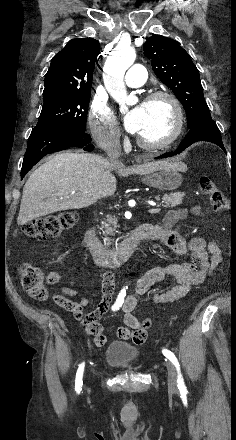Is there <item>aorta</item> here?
Here are the masks:
<instances>
[{"instance_id": "aorta-1", "label": "aorta", "mask_w": 236, "mask_h": 440, "mask_svg": "<svg viewBox=\"0 0 236 440\" xmlns=\"http://www.w3.org/2000/svg\"><path fill=\"white\" fill-rule=\"evenodd\" d=\"M136 52L130 46H118L108 56L104 65V84L110 95L123 109L126 104L135 100L134 97L128 96L124 75L126 70L134 63Z\"/></svg>"}]
</instances>
